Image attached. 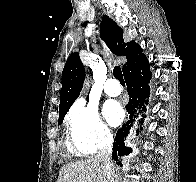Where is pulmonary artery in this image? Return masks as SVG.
Instances as JSON below:
<instances>
[{
    "mask_svg": "<svg viewBox=\"0 0 196 182\" xmlns=\"http://www.w3.org/2000/svg\"><path fill=\"white\" fill-rule=\"evenodd\" d=\"M104 91L108 96L116 97L121 94V86L117 79L110 77L105 82Z\"/></svg>",
    "mask_w": 196,
    "mask_h": 182,
    "instance_id": "e3ab8cb5",
    "label": "pulmonary artery"
}]
</instances>
